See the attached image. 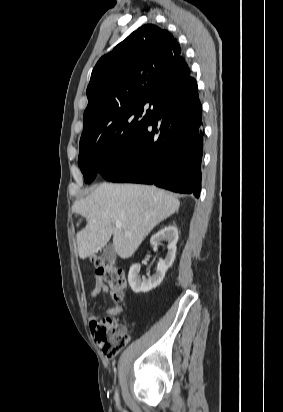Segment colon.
<instances>
[{"label": "colon", "mask_w": 283, "mask_h": 412, "mask_svg": "<svg viewBox=\"0 0 283 412\" xmlns=\"http://www.w3.org/2000/svg\"><path fill=\"white\" fill-rule=\"evenodd\" d=\"M93 261L97 275L104 278L113 299L116 302H121L124 298L126 284L124 272L102 255L94 256ZM91 334L95 344L108 358L115 357L129 341L128 334L113 314L94 321L91 324Z\"/></svg>", "instance_id": "obj_1"}]
</instances>
